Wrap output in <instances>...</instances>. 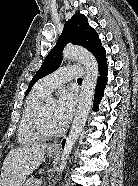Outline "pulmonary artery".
I'll return each instance as SVG.
<instances>
[{"label":"pulmonary artery","instance_id":"e3ab8cb5","mask_svg":"<svg viewBox=\"0 0 138 186\" xmlns=\"http://www.w3.org/2000/svg\"><path fill=\"white\" fill-rule=\"evenodd\" d=\"M83 75V67L79 65L65 66L55 72L45 76L40 80L43 88L51 92L69 80L81 77Z\"/></svg>","mask_w":138,"mask_h":186}]
</instances>
